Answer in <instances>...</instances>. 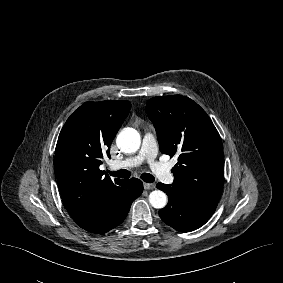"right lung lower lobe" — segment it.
Instances as JSON below:
<instances>
[{"mask_svg": "<svg viewBox=\"0 0 283 283\" xmlns=\"http://www.w3.org/2000/svg\"><path fill=\"white\" fill-rule=\"evenodd\" d=\"M142 191L143 183L139 179L125 180L123 187L103 210L79 226L95 234H102L115 228L126 218L132 202L141 195Z\"/></svg>", "mask_w": 283, "mask_h": 283, "instance_id": "obj_1", "label": "right lung lower lobe"}]
</instances>
